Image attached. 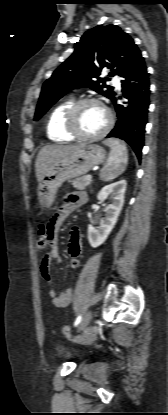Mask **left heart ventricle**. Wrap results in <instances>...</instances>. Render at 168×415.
<instances>
[{
    "instance_id": "left-heart-ventricle-1",
    "label": "left heart ventricle",
    "mask_w": 168,
    "mask_h": 415,
    "mask_svg": "<svg viewBox=\"0 0 168 415\" xmlns=\"http://www.w3.org/2000/svg\"><path fill=\"white\" fill-rule=\"evenodd\" d=\"M107 121L105 110L98 104H87L79 113L77 124L80 132L85 135H93L100 132Z\"/></svg>"
}]
</instances>
